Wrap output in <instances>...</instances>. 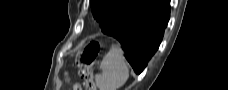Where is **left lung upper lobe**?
<instances>
[{"label": "left lung upper lobe", "mask_w": 228, "mask_h": 90, "mask_svg": "<svg viewBox=\"0 0 228 90\" xmlns=\"http://www.w3.org/2000/svg\"><path fill=\"white\" fill-rule=\"evenodd\" d=\"M133 0H90L94 18L100 23L102 31L111 26L116 19L128 11Z\"/></svg>", "instance_id": "left-lung-upper-lobe-1"}]
</instances>
